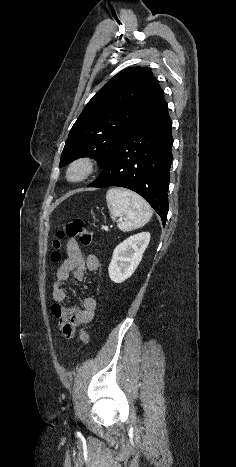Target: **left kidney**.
<instances>
[{
	"instance_id": "1",
	"label": "left kidney",
	"mask_w": 236,
	"mask_h": 467,
	"mask_svg": "<svg viewBox=\"0 0 236 467\" xmlns=\"http://www.w3.org/2000/svg\"><path fill=\"white\" fill-rule=\"evenodd\" d=\"M150 241V233L142 232L130 236L114 249L109 265V277L115 283H122L135 272Z\"/></svg>"
}]
</instances>
